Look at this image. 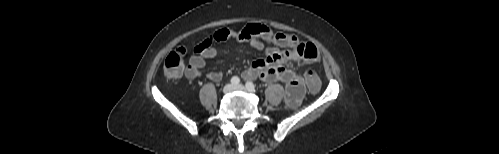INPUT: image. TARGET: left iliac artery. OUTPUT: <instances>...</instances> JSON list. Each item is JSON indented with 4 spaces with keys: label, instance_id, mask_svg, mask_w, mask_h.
Returning a JSON list of instances; mask_svg holds the SVG:
<instances>
[{
    "label": "left iliac artery",
    "instance_id": "obj_1",
    "mask_svg": "<svg viewBox=\"0 0 499 154\" xmlns=\"http://www.w3.org/2000/svg\"><path fill=\"white\" fill-rule=\"evenodd\" d=\"M245 86L249 92L256 93L255 85L251 81H248Z\"/></svg>",
    "mask_w": 499,
    "mask_h": 154
}]
</instances>
